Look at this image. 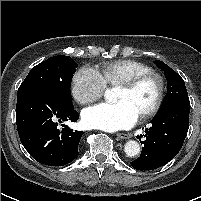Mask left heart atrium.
Instances as JSON below:
<instances>
[{
  "label": "left heart atrium",
  "mask_w": 201,
  "mask_h": 201,
  "mask_svg": "<svg viewBox=\"0 0 201 201\" xmlns=\"http://www.w3.org/2000/svg\"><path fill=\"white\" fill-rule=\"evenodd\" d=\"M138 118L137 112L126 101L100 103L82 112L85 126L109 132L130 128Z\"/></svg>",
  "instance_id": "left-heart-atrium-1"
}]
</instances>
